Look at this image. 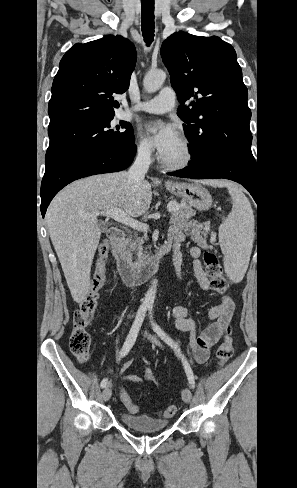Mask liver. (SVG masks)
I'll list each match as a JSON object with an SVG mask.
<instances>
[{
	"label": "liver",
	"mask_w": 297,
	"mask_h": 488,
	"mask_svg": "<svg viewBox=\"0 0 297 488\" xmlns=\"http://www.w3.org/2000/svg\"><path fill=\"white\" fill-rule=\"evenodd\" d=\"M151 201L150 183H132L126 171L78 180L52 200L46 213L48 232L75 302L81 303L91 287V266L101 237L93 213L122 208L139 217Z\"/></svg>",
	"instance_id": "6515ba94"
}]
</instances>
